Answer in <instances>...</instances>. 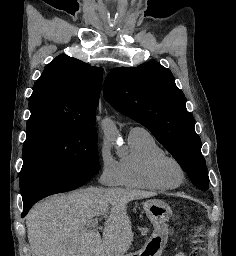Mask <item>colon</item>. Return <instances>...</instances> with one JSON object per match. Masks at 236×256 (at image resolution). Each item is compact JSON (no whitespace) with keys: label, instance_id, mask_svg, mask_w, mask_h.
Listing matches in <instances>:
<instances>
[{"label":"colon","instance_id":"5ec220e1","mask_svg":"<svg viewBox=\"0 0 236 256\" xmlns=\"http://www.w3.org/2000/svg\"><path fill=\"white\" fill-rule=\"evenodd\" d=\"M190 256H206L203 235L198 227L192 232Z\"/></svg>","mask_w":236,"mask_h":256}]
</instances>
